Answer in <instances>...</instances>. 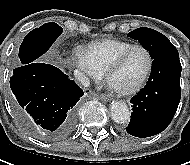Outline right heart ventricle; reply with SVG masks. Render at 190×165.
Segmentation results:
<instances>
[{
    "label": "right heart ventricle",
    "mask_w": 190,
    "mask_h": 165,
    "mask_svg": "<svg viewBox=\"0 0 190 165\" xmlns=\"http://www.w3.org/2000/svg\"><path fill=\"white\" fill-rule=\"evenodd\" d=\"M133 44L119 39H105L91 43L87 51L97 70L104 75L116 56Z\"/></svg>",
    "instance_id": "1"
}]
</instances>
